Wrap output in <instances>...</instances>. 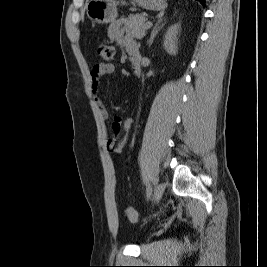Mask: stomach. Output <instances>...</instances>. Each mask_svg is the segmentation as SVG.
I'll list each match as a JSON object with an SVG mask.
<instances>
[{
    "label": "stomach",
    "mask_w": 267,
    "mask_h": 267,
    "mask_svg": "<svg viewBox=\"0 0 267 267\" xmlns=\"http://www.w3.org/2000/svg\"><path fill=\"white\" fill-rule=\"evenodd\" d=\"M136 4L146 10L160 11L165 8V0H134ZM124 4V2H122ZM116 0H89L86 4L88 18L97 24H108L117 18Z\"/></svg>",
    "instance_id": "1"
}]
</instances>
